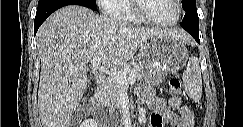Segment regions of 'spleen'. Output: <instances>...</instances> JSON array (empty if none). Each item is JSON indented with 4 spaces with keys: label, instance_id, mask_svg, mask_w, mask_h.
<instances>
[{
    "label": "spleen",
    "instance_id": "obj_1",
    "mask_svg": "<svg viewBox=\"0 0 243 127\" xmlns=\"http://www.w3.org/2000/svg\"><path fill=\"white\" fill-rule=\"evenodd\" d=\"M182 81L187 94L194 102H199L202 97V77L197 57L189 58L186 70L182 75Z\"/></svg>",
    "mask_w": 243,
    "mask_h": 127
}]
</instances>
